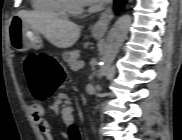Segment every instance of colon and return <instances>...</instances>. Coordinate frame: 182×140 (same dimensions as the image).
<instances>
[{
    "instance_id": "1",
    "label": "colon",
    "mask_w": 182,
    "mask_h": 140,
    "mask_svg": "<svg viewBox=\"0 0 182 140\" xmlns=\"http://www.w3.org/2000/svg\"><path fill=\"white\" fill-rule=\"evenodd\" d=\"M25 74L34 98H50L65 80L66 74L58 60L49 56L29 55L24 62ZM70 140H82V132L75 121L68 128Z\"/></svg>"
}]
</instances>
